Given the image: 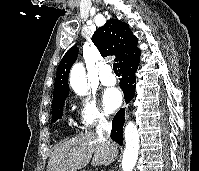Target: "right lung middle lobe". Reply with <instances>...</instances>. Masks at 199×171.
<instances>
[{"label":"right lung middle lobe","instance_id":"obj_1","mask_svg":"<svg viewBox=\"0 0 199 171\" xmlns=\"http://www.w3.org/2000/svg\"><path fill=\"white\" fill-rule=\"evenodd\" d=\"M65 99L52 103V119L55 121L62 118Z\"/></svg>","mask_w":199,"mask_h":171}]
</instances>
